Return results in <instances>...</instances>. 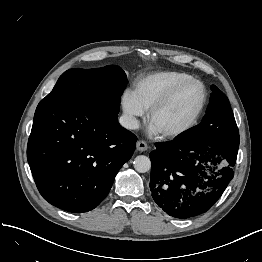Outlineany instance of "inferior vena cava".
I'll list each match as a JSON object with an SVG mask.
<instances>
[{
    "instance_id": "obj_1",
    "label": "inferior vena cava",
    "mask_w": 262,
    "mask_h": 262,
    "mask_svg": "<svg viewBox=\"0 0 262 262\" xmlns=\"http://www.w3.org/2000/svg\"><path fill=\"white\" fill-rule=\"evenodd\" d=\"M119 123L122 127L126 129H138L139 128V122L138 120L131 115H122L119 118Z\"/></svg>"
}]
</instances>
